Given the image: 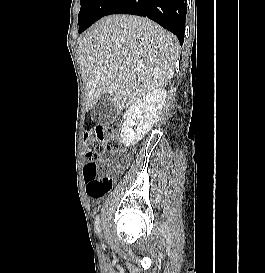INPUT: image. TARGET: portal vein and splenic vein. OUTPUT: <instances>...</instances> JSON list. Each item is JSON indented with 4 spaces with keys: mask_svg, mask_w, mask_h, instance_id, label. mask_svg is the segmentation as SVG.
<instances>
[{
    "mask_svg": "<svg viewBox=\"0 0 265 273\" xmlns=\"http://www.w3.org/2000/svg\"><path fill=\"white\" fill-rule=\"evenodd\" d=\"M121 70H122V71H126V69H125V68H121Z\"/></svg>",
    "mask_w": 265,
    "mask_h": 273,
    "instance_id": "1",
    "label": "portal vein and splenic vein"
}]
</instances>
